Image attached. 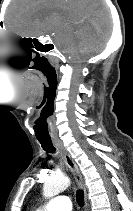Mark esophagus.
Returning <instances> with one entry per match:
<instances>
[{
    "mask_svg": "<svg viewBox=\"0 0 133 211\" xmlns=\"http://www.w3.org/2000/svg\"><path fill=\"white\" fill-rule=\"evenodd\" d=\"M53 144L58 149L65 163L67 164V166L70 168L71 172L73 173L77 185L79 186V188L83 190L85 207L88 208V194H87V190L84 184L83 177L80 173V170L77 164L74 162L71 155L69 154V152L67 151V149L65 148V146L63 145L61 141L59 140L53 141Z\"/></svg>",
    "mask_w": 133,
    "mask_h": 211,
    "instance_id": "1",
    "label": "esophagus"
}]
</instances>
